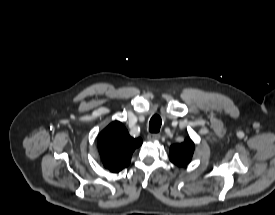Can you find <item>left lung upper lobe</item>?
<instances>
[{"mask_svg":"<svg viewBox=\"0 0 275 215\" xmlns=\"http://www.w3.org/2000/svg\"><path fill=\"white\" fill-rule=\"evenodd\" d=\"M194 143L190 139H186L182 144H175L170 147V160L178 165L185 166L187 165L194 152Z\"/></svg>","mask_w":275,"mask_h":215,"instance_id":"obj_1","label":"left lung upper lobe"}]
</instances>
